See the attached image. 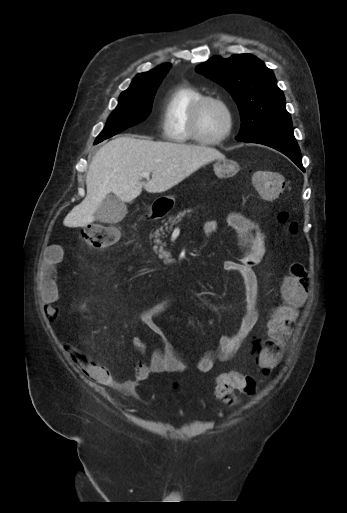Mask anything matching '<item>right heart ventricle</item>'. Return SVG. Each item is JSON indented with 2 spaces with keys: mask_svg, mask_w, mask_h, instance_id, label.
<instances>
[{
  "mask_svg": "<svg viewBox=\"0 0 347 513\" xmlns=\"http://www.w3.org/2000/svg\"><path fill=\"white\" fill-rule=\"evenodd\" d=\"M203 95L189 83H182L169 93L162 114V130L166 139L179 144L195 142L189 131V116Z\"/></svg>",
  "mask_w": 347,
  "mask_h": 513,
  "instance_id": "1",
  "label": "right heart ventricle"
}]
</instances>
